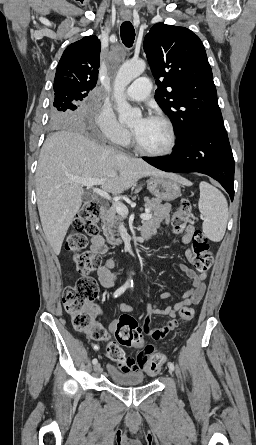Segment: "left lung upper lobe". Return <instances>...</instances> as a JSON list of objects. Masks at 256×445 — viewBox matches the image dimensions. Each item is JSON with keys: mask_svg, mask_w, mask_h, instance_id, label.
Segmentation results:
<instances>
[{"mask_svg": "<svg viewBox=\"0 0 256 445\" xmlns=\"http://www.w3.org/2000/svg\"><path fill=\"white\" fill-rule=\"evenodd\" d=\"M144 50L158 85L155 100L178 140L195 127L224 126L212 70L196 34L157 23L145 36Z\"/></svg>", "mask_w": 256, "mask_h": 445, "instance_id": "5c2ea615", "label": "left lung upper lobe"}]
</instances>
